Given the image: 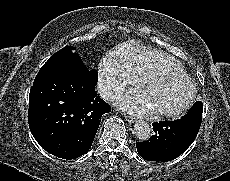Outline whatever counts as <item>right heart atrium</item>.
<instances>
[{
  "label": "right heart atrium",
  "mask_w": 230,
  "mask_h": 181,
  "mask_svg": "<svg viewBox=\"0 0 230 181\" xmlns=\"http://www.w3.org/2000/svg\"><path fill=\"white\" fill-rule=\"evenodd\" d=\"M135 83L136 77L131 71L112 65L107 57L99 64L98 86L103 95L114 97Z\"/></svg>",
  "instance_id": "obj_1"
}]
</instances>
